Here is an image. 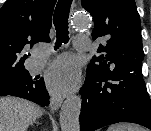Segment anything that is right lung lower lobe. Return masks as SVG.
I'll return each mask as SVG.
<instances>
[{"label": "right lung lower lobe", "mask_w": 151, "mask_h": 131, "mask_svg": "<svg viewBox=\"0 0 151 131\" xmlns=\"http://www.w3.org/2000/svg\"><path fill=\"white\" fill-rule=\"evenodd\" d=\"M1 95L25 98L41 106H48L49 104V95L45 89L43 79L37 80L31 75L15 84L0 86Z\"/></svg>", "instance_id": "98d812e1"}]
</instances>
